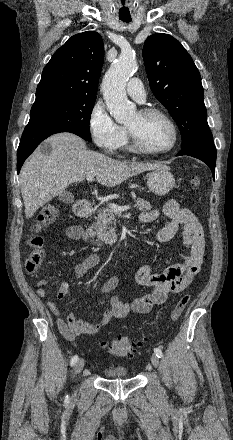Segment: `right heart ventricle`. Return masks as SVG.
Segmentation results:
<instances>
[{
    "label": "right heart ventricle",
    "instance_id": "right-heart-ventricle-1",
    "mask_svg": "<svg viewBox=\"0 0 233 440\" xmlns=\"http://www.w3.org/2000/svg\"><path fill=\"white\" fill-rule=\"evenodd\" d=\"M123 148L124 149H126V150H130L131 149V147L129 146V144H128V141H127V137L125 138V141L123 142Z\"/></svg>",
    "mask_w": 233,
    "mask_h": 440
}]
</instances>
